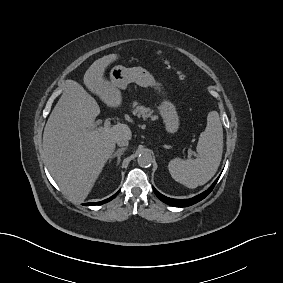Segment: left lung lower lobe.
<instances>
[{
	"instance_id": "left-lung-lower-lobe-1",
	"label": "left lung lower lobe",
	"mask_w": 283,
	"mask_h": 283,
	"mask_svg": "<svg viewBox=\"0 0 283 283\" xmlns=\"http://www.w3.org/2000/svg\"><path fill=\"white\" fill-rule=\"evenodd\" d=\"M219 177L215 180V182L203 193L191 198V199H172V198H168L164 195H162L161 193H159L154 187H153V191L156 194V196L163 201L164 203L174 206V207H186V206H191L199 201H201L202 199H204L206 196H208L210 194V192L213 190L215 184L217 183Z\"/></svg>"
}]
</instances>
